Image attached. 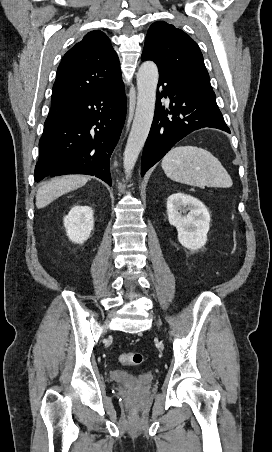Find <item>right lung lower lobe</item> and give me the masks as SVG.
Returning a JSON list of instances; mask_svg holds the SVG:
<instances>
[{"label": "right lung lower lobe", "instance_id": "right-lung-lower-lobe-1", "mask_svg": "<svg viewBox=\"0 0 272 452\" xmlns=\"http://www.w3.org/2000/svg\"><path fill=\"white\" fill-rule=\"evenodd\" d=\"M126 116L122 79L51 110L39 141L35 181L64 174L94 175L111 186L109 159Z\"/></svg>", "mask_w": 272, "mask_h": 452}]
</instances>
